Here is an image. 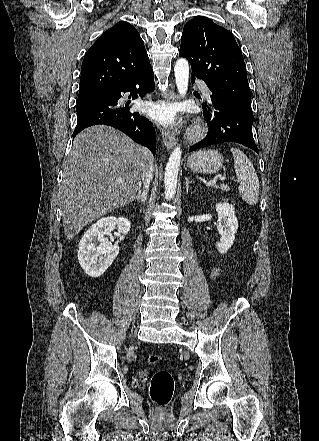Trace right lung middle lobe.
I'll use <instances>...</instances> for the list:
<instances>
[{"instance_id": "right-lung-middle-lobe-1", "label": "right lung middle lobe", "mask_w": 319, "mask_h": 441, "mask_svg": "<svg viewBox=\"0 0 319 441\" xmlns=\"http://www.w3.org/2000/svg\"><path fill=\"white\" fill-rule=\"evenodd\" d=\"M80 105H82V104L77 103V106H80Z\"/></svg>"}]
</instances>
